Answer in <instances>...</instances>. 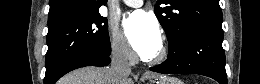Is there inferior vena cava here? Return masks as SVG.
Masks as SVG:
<instances>
[{
	"label": "inferior vena cava",
	"instance_id": "602c4592",
	"mask_svg": "<svg viewBox=\"0 0 260 84\" xmlns=\"http://www.w3.org/2000/svg\"><path fill=\"white\" fill-rule=\"evenodd\" d=\"M128 57L129 53L124 47L115 50L112 54L111 71L123 79H126L131 73Z\"/></svg>",
	"mask_w": 260,
	"mask_h": 84
}]
</instances>
